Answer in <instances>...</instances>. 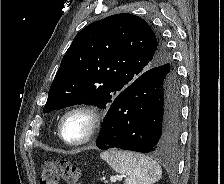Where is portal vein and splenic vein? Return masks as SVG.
Here are the masks:
<instances>
[{
  "instance_id": "1",
  "label": "portal vein and splenic vein",
  "mask_w": 224,
  "mask_h": 184,
  "mask_svg": "<svg viewBox=\"0 0 224 184\" xmlns=\"http://www.w3.org/2000/svg\"><path fill=\"white\" fill-rule=\"evenodd\" d=\"M116 180H117L116 176H111V177H110V181H111L112 183H115Z\"/></svg>"
}]
</instances>
